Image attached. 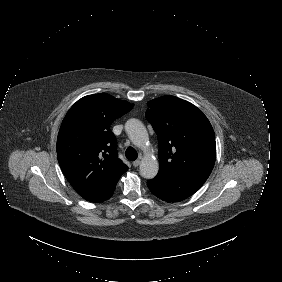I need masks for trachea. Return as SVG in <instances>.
<instances>
[{
    "mask_svg": "<svg viewBox=\"0 0 282 282\" xmlns=\"http://www.w3.org/2000/svg\"><path fill=\"white\" fill-rule=\"evenodd\" d=\"M126 158L134 161L137 159V151L133 147H128L125 151Z\"/></svg>",
    "mask_w": 282,
    "mask_h": 282,
    "instance_id": "trachea-1",
    "label": "trachea"
}]
</instances>
